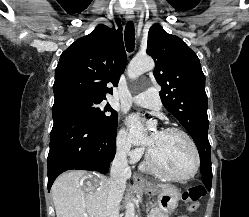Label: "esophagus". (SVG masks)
I'll return each instance as SVG.
<instances>
[{"label": "esophagus", "instance_id": "esophagus-1", "mask_svg": "<svg viewBox=\"0 0 249 217\" xmlns=\"http://www.w3.org/2000/svg\"><path fill=\"white\" fill-rule=\"evenodd\" d=\"M125 18L128 21L134 20V12H133V10H127L126 14H125ZM133 179H134V183L136 185H138V186H144L147 183L146 180L143 177H141V176H139L137 174H134Z\"/></svg>", "mask_w": 249, "mask_h": 217}]
</instances>
